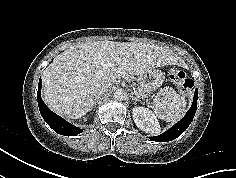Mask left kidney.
<instances>
[{"label":"left kidney","mask_w":236,"mask_h":178,"mask_svg":"<svg viewBox=\"0 0 236 178\" xmlns=\"http://www.w3.org/2000/svg\"><path fill=\"white\" fill-rule=\"evenodd\" d=\"M132 114L133 120L140 130L150 134L160 133L159 122L148 108L136 106L133 108Z\"/></svg>","instance_id":"1"}]
</instances>
